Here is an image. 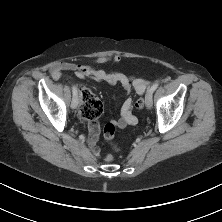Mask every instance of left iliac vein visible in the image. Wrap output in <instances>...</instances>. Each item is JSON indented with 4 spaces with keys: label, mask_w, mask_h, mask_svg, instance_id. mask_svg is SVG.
<instances>
[{
    "label": "left iliac vein",
    "mask_w": 222,
    "mask_h": 222,
    "mask_svg": "<svg viewBox=\"0 0 222 222\" xmlns=\"http://www.w3.org/2000/svg\"><path fill=\"white\" fill-rule=\"evenodd\" d=\"M153 92L151 91V88L147 91L145 95V104L148 109H151L152 104H153Z\"/></svg>",
    "instance_id": "1"
}]
</instances>
